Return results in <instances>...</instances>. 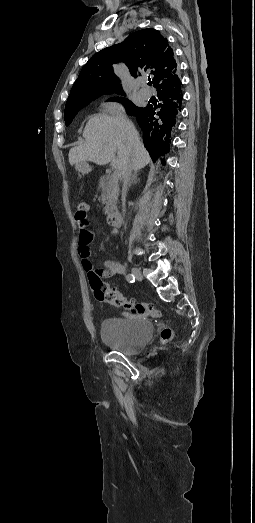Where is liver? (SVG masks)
Segmentation results:
<instances>
[{
    "label": "liver",
    "instance_id": "obj_1",
    "mask_svg": "<svg viewBox=\"0 0 255 523\" xmlns=\"http://www.w3.org/2000/svg\"><path fill=\"white\" fill-rule=\"evenodd\" d=\"M82 136L84 144L71 148L68 156L71 166L75 164V170L82 174L91 170L87 162H94L98 166L111 162L118 174H122L126 166L138 172L151 162L146 148L140 142L139 132L130 120L96 114L87 122Z\"/></svg>",
    "mask_w": 255,
    "mask_h": 523
}]
</instances>
